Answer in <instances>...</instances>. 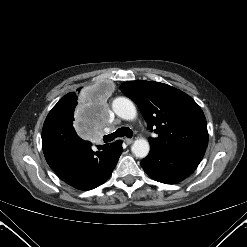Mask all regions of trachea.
<instances>
[{"label":"trachea","instance_id":"1","mask_svg":"<svg viewBox=\"0 0 247 247\" xmlns=\"http://www.w3.org/2000/svg\"><path fill=\"white\" fill-rule=\"evenodd\" d=\"M124 136H126L128 138H132V136H133L132 130L128 127L119 128L114 133L109 134V135H105L103 137V140L106 143V142L113 141L117 137H124Z\"/></svg>","mask_w":247,"mask_h":247}]
</instances>
